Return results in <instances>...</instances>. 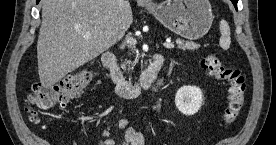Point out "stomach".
I'll return each instance as SVG.
<instances>
[{
    "mask_svg": "<svg viewBox=\"0 0 276 145\" xmlns=\"http://www.w3.org/2000/svg\"><path fill=\"white\" fill-rule=\"evenodd\" d=\"M147 9L169 30L189 40L202 38L213 22L208 0H166Z\"/></svg>",
    "mask_w": 276,
    "mask_h": 145,
    "instance_id": "stomach-1",
    "label": "stomach"
}]
</instances>
